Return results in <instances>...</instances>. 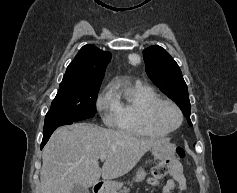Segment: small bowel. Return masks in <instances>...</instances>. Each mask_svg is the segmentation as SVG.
Instances as JSON below:
<instances>
[{
  "instance_id": "c3829d8e",
  "label": "small bowel",
  "mask_w": 237,
  "mask_h": 193,
  "mask_svg": "<svg viewBox=\"0 0 237 193\" xmlns=\"http://www.w3.org/2000/svg\"><path fill=\"white\" fill-rule=\"evenodd\" d=\"M172 178L164 185L162 193H181L186 190L184 172L177 160L171 159Z\"/></svg>"
}]
</instances>
